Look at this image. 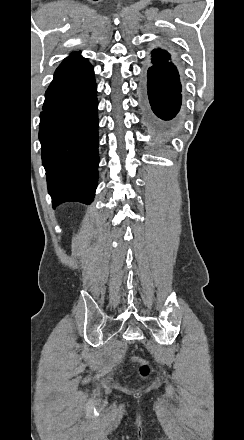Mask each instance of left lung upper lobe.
I'll return each mask as SVG.
<instances>
[{"instance_id": "left-lung-upper-lobe-1", "label": "left lung upper lobe", "mask_w": 244, "mask_h": 440, "mask_svg": "<svg viewBox=\"0 0 244 440\" xmlns=\"http://www.w3.org/2000/svg\"><path fill=\"white\" fill-rule=\"evenodd\" d=\"M152 57L169 60L171 58V54L167 50L157 48L152 51Z\"/></svg>"}]
</instances>
